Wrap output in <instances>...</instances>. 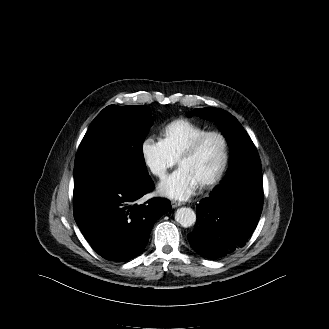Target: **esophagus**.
<instances>
[{"label": "esophagus", "mask_w": 329, "mask_h": 329, "mask_svg": "<svg viewBox=\"0 0 329 329\" xmlns=\"http://www.w3.org/2000/svg\"><path fill=\"white\" fill-rule=\"evenodd\" d=\"M182 204H183V203L178 202V201H171V206H172L173 208H177V207L181 206Z\"/></svg>", "instance_id": "1"}]
</instances>
